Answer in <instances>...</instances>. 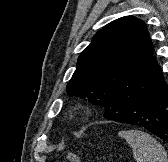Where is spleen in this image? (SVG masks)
<instances>
[{"instance_id": "3e777b00", "label": "spleen", "mask_w": 168, "mask_h": 162, "mask_svg": "<svg viewBox=\"0 0 168 162\" xmlns=\"http://www.w3.org/2000/svg\"><path fill=\"white\" fill-rule=\"evenodd\" d=\"M132 149L136 162H168L164 147L150 134L140 130L119 131Z\"/></svg>"}]
</instances>
